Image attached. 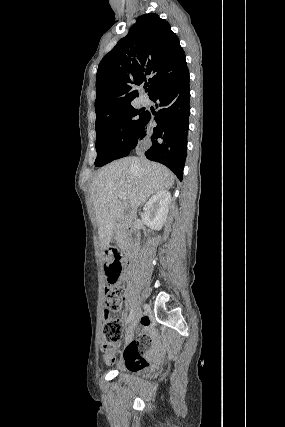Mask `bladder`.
I'll return each mask as SVG.
<instances>
[{"mask_svg":"<svg viewBox=\"0 0 285 427\" xmlns=\"http://www.w3.org/2000/svg\"><path fill=\"white\" fill-rule=\"evenodd\" d=\"M117 371H118V373H125V374H131V375H138L140 373L139 370H137V371H129L127 369L120 368V367L117 369Z\"/></svg>","mask_w":285,"mask_h":427,"instance_id":"bladder-1","label":"bladder"}]
</instances>
